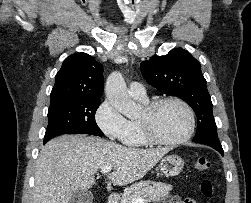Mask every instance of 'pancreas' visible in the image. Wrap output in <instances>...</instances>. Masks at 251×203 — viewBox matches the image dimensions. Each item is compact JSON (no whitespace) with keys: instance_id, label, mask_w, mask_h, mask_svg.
Returning <instances> with one entry per match:
<instances>
[{"instance_id":"cf45deb5","label":"pancreas","mask_w":251,"mask_h":203,"mask_svg":"<svg viewBox=\"0 0 251 203\" xmlns=\"http://www.w3.org/2000/svg\"><path fill=\"white\" fill-rule=\"evenodd\" d=\"M172 186L155 181H141L132 184L121 196L120 203H132L134 198H145L146 202H155L169 194Z\"/></svg>"}]
</instances>
